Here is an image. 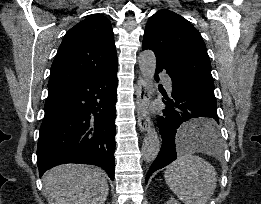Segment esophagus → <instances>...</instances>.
Wrapping results in <instances>:
<instances>
[{
    "label": "esophagus",
    "mask_w": 261,
    "mask_h": 204,
    "mask_svg": "<svg viewBox=\"0 0 261 204\" xmlns=\"http://www.w3.org/2000/svg\"><path fill=\"white\" fill-rule=\"evenodd\" d=\"M150 101V87L143 77L138 79V90L136 93L137 119L141 132H145L150 126V116L147 110Z\"/></svg>",
    "instance_id": "34e87169"
}]
</instances>
